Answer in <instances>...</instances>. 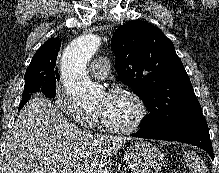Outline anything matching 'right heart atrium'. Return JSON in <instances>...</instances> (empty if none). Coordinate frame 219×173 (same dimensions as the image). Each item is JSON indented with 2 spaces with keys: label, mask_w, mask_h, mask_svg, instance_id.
Segmentation results:
<instances>
[{
  "label": "right heart atrium",
  "mask_w": 219,
  "mask_h": 173,
  "mask_svg": "<svg viewBox=\"0 0 219 173\" xmlns=\"http://www.w3.org/2000/svg\"><path fill=\"white\" fill-rule=\"evenodd\" d=\"M54 103L61 112L81 127L93 128L97 123L95 112L84 110L61 86H57L54 90Z\"/></svg>",
  "instance_id": "obj_1"
}]
</instances>
